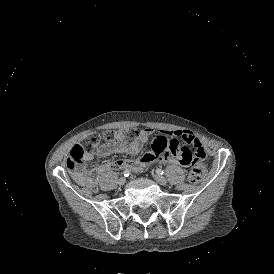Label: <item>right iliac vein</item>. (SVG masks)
<instances>
[{"label": "right iliac vein", "instance_id": "63e3f726", "mask_svg": "<svg viewBox=\"0 0 274 274\" xmlns=\"http://www.w3.org/2000/svg\"><path fill=\"white\" fill-rule=\"evenodd\" d=\"M126 183V178L125 177H121L119 180H118V184L119 185H124Z\"/></svg>", "mask_w": 274, "mask_h": 274}]
</instances>
